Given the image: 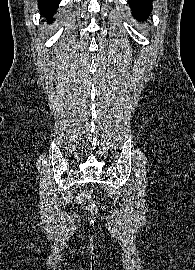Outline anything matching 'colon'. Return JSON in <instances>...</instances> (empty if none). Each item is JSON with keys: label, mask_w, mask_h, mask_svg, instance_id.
<instances>
[{"label": "colon", "mask_w": 195, "mask_h": 270, "mask_svg": "<svg viewBox=\"0 0 195 270\" xmlns=\"http://www.w3.org/2000/svg\"><path fill=\"white\" fill-rule=\"evenodd\" d=\"M77 201L80 204H84L87 208V210L90 213H97L98 211V204L96 201L92 200L88 195L86 194H80L77 197Z\"/></svg>", "instance_id": "colon-1"}]
</instances>
